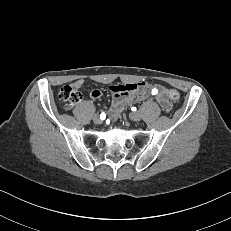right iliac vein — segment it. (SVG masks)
Returning <instances> with one entry per match:
<instances>
[{
	"instance_id": "63e3f726",
	"label": "right iliac vein",
	"mask_w": 231,
	"mask_h": 231,
	"mask_svg": "<svg viewBox=\"0 0 231 231\" xmlns=\"http://www.w3.org/2000/svg\"><path fill=\"white\" fill-rule=\"evenodd\" d=\"M93 122H94L95 124H101V123H102V120H101V118H100L98 115H94V116H93Z\"/></svg>"
}]
</instances>
